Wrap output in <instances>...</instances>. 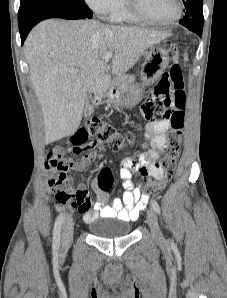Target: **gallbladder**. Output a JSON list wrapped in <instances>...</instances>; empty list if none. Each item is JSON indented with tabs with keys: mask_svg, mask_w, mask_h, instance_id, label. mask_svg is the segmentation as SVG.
<instances>
[{
	"mask_svg": "<svg viewBox=\"0 0 227 298\" xmlns=\"http://www.w3.org/2000/svg\"><path fill=\"white\" fill-rule=\"evenodd\" d=\"M93 112H94V105L89 103L88 98H87L84 115H85V117H89L92 115Z\"/></svg>",
	"mask_w": 227,
	"mask_h": 298,
	"instance_id": "1",
	"label": "gallbladder"
}]
</instances>
